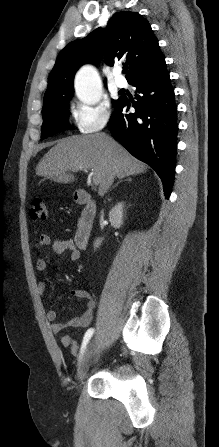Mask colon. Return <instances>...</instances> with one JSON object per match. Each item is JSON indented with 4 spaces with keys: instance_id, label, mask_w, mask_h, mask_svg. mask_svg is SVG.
Here are the masks:
<instances>
[{
    "instance_id": "obj_1",
    "label": "colon",
    "mask_w": 219,
    "mask_h": 447,
    "mask_svg": "<svg viewBox=\"0 0 219 447\" xmlns=\"http://www.w3.org/2000/svg\"><path fill=\"white\" fill-rule=\"evenodd\" d=\"M29 214L33 221H44L47 219V207L43 197L33 199Z\"/></svg>"
}]
</instances>
